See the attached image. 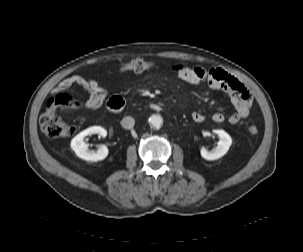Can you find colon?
I'll return each mask as SVG.
<instances>
[{
    "label": "colon",
    "mask_w": 303,
    "mask_h": 252,
    "mask_svg": "<svg viewBox=\"0 0 303 252\" xmlns=\"http://www.w3.org/2000/svg\"><path fill=\"white\" fill-rule=\"evenodd\" d=\"M155 65L151 61L142 59L133 60L130 62H122L118 66V70L140 72L153 68ZM81 104L69 93L59 92L48 98L45 112L40 118L42 131L50 138H61L72 135L75 128L65 123L58 112L61 108L73 109L80 108ZM248 132L251 136H255L259 132V127L256 124H251L248 127Z\"/></svg>",
    "instance_id": "5ec220e1"
}]
</instances>
